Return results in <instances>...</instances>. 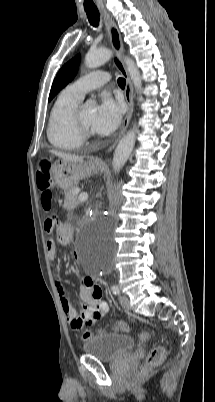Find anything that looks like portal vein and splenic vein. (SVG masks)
Wrapping results in <instances>:
<instances>
[{"instance_id":"1","label":"portal vein and splenic vein","mask_w":215,"mask_h":402,"mask_svg":"<svg viewBox=\"0 0 215 402\" xmlns=\"http://www.w3.org/2000/svg\"><path fill=\"white\" fill-rule=\"evenodd\" d=\"M79 190L76 189L75 193L77 194ZM88 199V194L86 192H83L79 195L78 200L80 202H85Z\"/></svg>"}]
</instances>
